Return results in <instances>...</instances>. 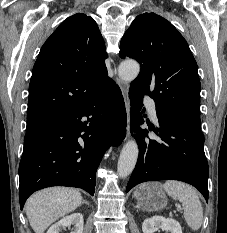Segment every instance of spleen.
Returning a JSON list of instances; mask_svg holds the SVG:
<instances>
[{
  "label": "spleen",
  "mask_w": 227,
  "mask_h": 233,
  "mask_svg": "<svg viewBox=\"0 0 227 233\" xmlns=\"http://www.w3.org/2000/svg\"><path fill=\"white\" fill-rule=\"evenodd\" d=\"M163 189L173 199L182 203L184 219L188 226L193 231L199 230L203 222V208L195 189L176 180H167L163 184Z\"/></svg>",
  "instance_id": "spleen-1"
}]
</instances>
